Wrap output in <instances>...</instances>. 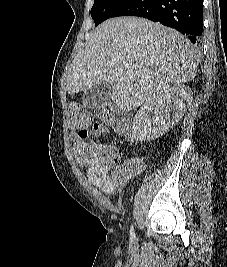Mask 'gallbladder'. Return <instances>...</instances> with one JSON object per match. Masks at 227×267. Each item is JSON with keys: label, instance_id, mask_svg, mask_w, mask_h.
Returning <instances> with one entry per match:
<instances>
[{"label": "gallbladder", "instance_id": "bac80fb5", "mask_svg": "<svg viewBox=\"0 0 227 267\" xmlns=\"http://www.w3.org/2000/svg\"><path fill=\"white\" fill-rule=\"evenodd\" d=\"M111 94L112 85L103 82L84 91L82 103L88 109H101L110 100Z\"/></svg>", "mask_w": 227, "mask_h": 267}]
</instances>
